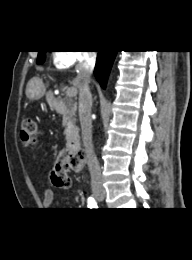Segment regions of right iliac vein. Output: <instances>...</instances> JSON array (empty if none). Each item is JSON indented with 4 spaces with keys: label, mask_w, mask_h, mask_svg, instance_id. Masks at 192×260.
Returning <instances> with one entry per match:
<instances>
[{
    "label": "right iliac vein",
    "mask_w": 192,
    "mask_h": 260,
    "mask_svg": "<svg viewBox=\"0 0 192 260\" xmlns=\"http://www.w3.org/2000/svg\"><path fill=\"white\" fill-rule=\"evenodd\" d=\"M94 197H95L97 200L102 201V200H104V198H105V192L96 191V192H94Z\"/></svg>",
    "instance_id": "63e3f726"
}]
</instances>
